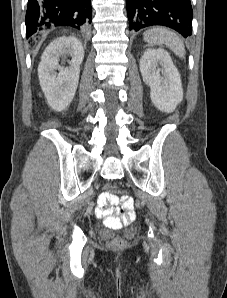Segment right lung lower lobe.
Wrapping results in <instances>:
<instances>
[{
	"mask_svg": "<svg viewBox=\"0 0 227 298\" xmlns=\"http://www.w3.org/2000/svg\"><path fill=\"white\" fill-rule=\"evenodd\" d=\"M91 0H28L26 12L27 38L53 26L85 28L91 23Z\"/></svg>",
	"mask_w": 227,
	"mask_h": 298,
	"instance_id": "98d812e1",
	"label": "right lung lower lobe"
}]
</instances>
